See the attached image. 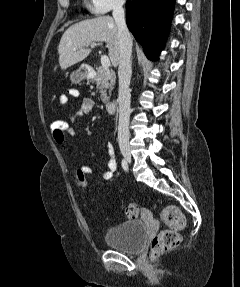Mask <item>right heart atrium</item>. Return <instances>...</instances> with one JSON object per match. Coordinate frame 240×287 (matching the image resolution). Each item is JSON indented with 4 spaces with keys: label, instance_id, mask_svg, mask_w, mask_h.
I'll return each mask as SVG.
<instances>
[{
    "label": "right heart atrium",
    "instance_id": "d8ad5b80",
    "mask_svg": "<svg viewBox=\"0 0 240 287\" xmlns=\"http://www.w3.org/2000/svg\"><path fill=\"white\" fill-rule=\"evenodd\" d=\"M89 10L95 15H103L121 7L125 0H86Z\"/></svg>",
    "mask_w": 240,
    "mask_h": 287
}]
</instances>
